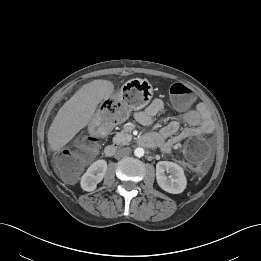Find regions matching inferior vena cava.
Listing matches in <instances>:
<instances>
[{
    "instance_id": "obj_1",
    "label": "inferior vena cava",
    "mask_w": 261,
    "mask_h": 261,
    "mask_svg": "<svg viewBox=\"0 0 261 261\" xmlns=\"http://www.w3.org/2000/svg\"><path fill=\"white\" fill-rule=\"evenodd\" d=\"M130 152H131L130 147L119 148L115 152V157L116 158H122V157L128 156L130 154Z\"/></svg>"
}]
</instances>
